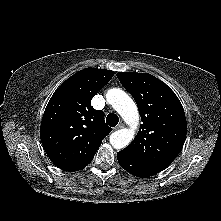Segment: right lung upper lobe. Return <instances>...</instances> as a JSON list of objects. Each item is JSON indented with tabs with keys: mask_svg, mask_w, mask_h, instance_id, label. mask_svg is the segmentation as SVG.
Masks as SVG:
<instances>
[{
	"mask_svg": "<svg viewBox=\"0 0 221 221\" xmlns=\"http://www.w3.org/2000/svg\"><path fill=\"white\" fill-rule=\"evenodd\" d=\"M113 76L111 70L83 69L68 78L49 100L40 138L48 157L60 169L71 172L86 167L112 130L91 100Z\"/></svg>",
	"mask_w": 221,
	"mask_h": 221,
	"instance_id": "obj_1",
	"label": "right lung upper lobe"
}]
</instances>
